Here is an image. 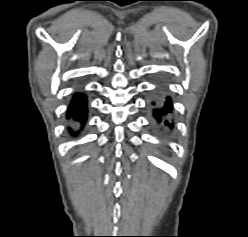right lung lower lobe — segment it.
I'll use <instances>...</instances> for the list:
<instances>
[{"label": "right lung lower lobe", "mask_w": 248, "mask_h": 237, "mask_svg": "<svg viewBox=\"0 0 248 237\" xmlns=\"http://www.w3.org/2000/svg\"><path fill=\"white\" fill-rule=\"evenodd\" d=\"M76 101H78L76 103ZM86 100L82 96L80 98L79 95L75 96V99L72 101L68 109L67 117H72L74 120L81 122L83 125L86 119Z\"/></svg>", "instance_id": "1"}]
</instances>
